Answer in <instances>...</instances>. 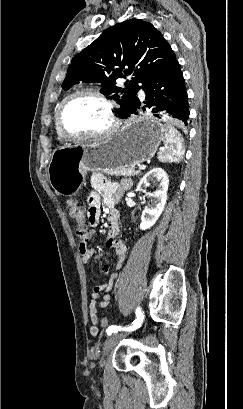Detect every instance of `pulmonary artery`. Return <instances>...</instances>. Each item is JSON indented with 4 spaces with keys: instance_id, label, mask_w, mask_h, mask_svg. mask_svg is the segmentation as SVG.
<instances>
[{
    "instance_id": "pulmonary-artery-1",
    "label": "pulmonary artery",
    "mask_w": 243,
    "mask_h": 409,
    "mask_svg": "<svg viewBox=\"0 0 243 409\" xmlns=\"http://www.w3.org/2000/svg\"><path fill=\"white\" fill-rule=\"evenodd\" d=\"M139 95H140V97H145V93H144V91L142 89L139 91Z\"/></svg>"
}]
</instances>
